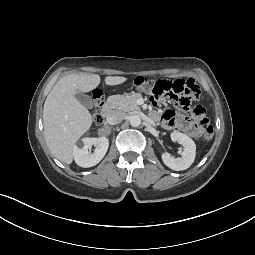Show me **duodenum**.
<instances>
[{"label":"duodenum","instance_id":"duodenum-1","mask_svg":"<svg viewBox=\"0 0 255 255\" xmlns=\"http://www.w3.org/2000/svg\"><path fill=\"white\" fill-rule=\"evenodd\" d=\"M113 112V106L110 102L106 103L102 108V116L104 118H108L111 116Z\"/></svg>","mask_w":255,"mask_h":255}]
</instances>
